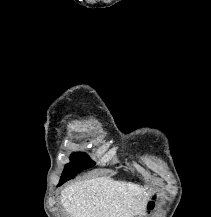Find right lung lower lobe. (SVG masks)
<instances>
[{
  "mask_svg": "<svg viewBox=\"0 0 211 217\" xmlns=\"http://www.w3.org/2000/svg\"><path fill=\"white\" fill-rule=\"evenodd\" d=\"M63 183H64V181H60V182H59V185H61V184H63Z\"/></svg>",
  "mask_w": 211,
  "mask_h": 217,
  "instance_id": "right-lung-lower-lobe-1",
  "label": "right lung lower lobe"
}]
</instances>
